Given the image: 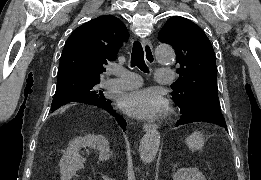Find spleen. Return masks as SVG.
<instances>
[{
  "label": "spleen",
  "instance_id": "spleen-1",
  "mask_svg": "<svg viewBox=\"0 0 261 180\" xmlns=\"http://www.w3.org/2000/svg\"><path fill=\"white\" fill-rule=\"evenodd\" d=\"M186 144L188 148L192 150V152H194V150H202L204 138L202 134H200V132H193L191 136H188V138H186Z\"/></svg>",
  "mask_w": 261,
  "mask_h": 180
}]
</instances>
